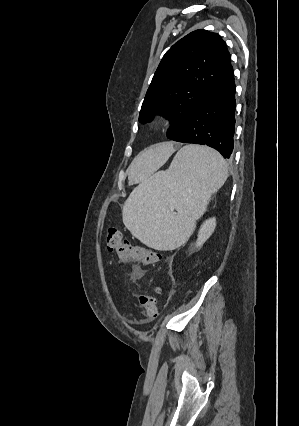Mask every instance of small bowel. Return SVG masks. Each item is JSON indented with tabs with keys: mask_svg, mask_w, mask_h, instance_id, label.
<instances>
[{
	"mask_svg": "<svg viewBox=\"0 0 299 426\" xmlns=\"http://www.w3.org/2000/svg\"><path fill=\"white\" fill-rule=\"evenodd\" d=\"M144 274H145V271L142 268H140L138 266H135L132 269L131 278L134 281H138V280H140L144 276Z\"/></svg>",
	"mask_w": 299,
	"mask_h": 426,
	"instance_id": "small-bowel-1",
	"label": "small bowel"
}]
</instances>
